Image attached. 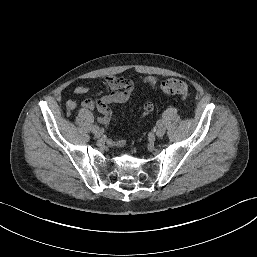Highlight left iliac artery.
Instances as JSON below:
<instances>
[{
    "label": "left iliac artery",
    "mask_w": 257,
    "mask_h": 257,
    "mask_svg": "<svg viewBox=\"0 0 257 257\" xmlns=\"http://www.w3.org/2000/svg\"><path fill=\"white\" fill-rule=\"evenodd\" d=\"M162 123H163L162 120L159 119L156 124H157V126H162Z\"/></svg>",
    "instance_id": "1"
}]
</instances>
